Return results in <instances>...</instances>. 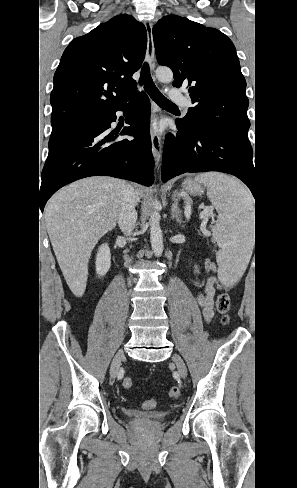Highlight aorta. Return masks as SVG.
I'll return each mask as SVG.
<instances>
[{
  "label": "aorta",
  "instance_id": "aorta-1",
  "mask_svg": "<svg viewBox=\"0 0 297 488\" xmlns=\"http://www.w3.org/2000/svg\"><path fill=\"white\" fill-rule=\"evenodd\" d=\"M156 77L161 82H170L173 79V72L169 68L159 67L156 70ZM160 207L161 204L159 200L155 198L153 201V212L149 220V225L151 246L155 256L157 257L161 256L164 250L163 234L160 228Z\"/></svg>",
  "mask_w": 297,
  "mask_h": 488
}]
</instances>
